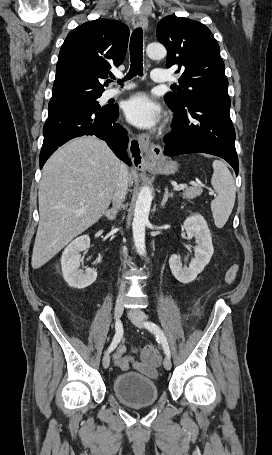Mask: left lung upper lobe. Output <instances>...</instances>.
<instances>
[{
  "instance_id": "left-lung-upper-lobe-1",
  "label": "left lung upper lobe",
  "mask_w": 272,
  "mask_h": 455,
  "mask_svg": "<svg viewBox=\"0 0 272 455\" xmlns=\"http://www.w3.org/2000/svg\"><path fill=\"white\" fill-rule=\"evenodd\" d=\"M157 39L168 51L166 66L178 67L180 86L164 98L174 109L205 96L228 95L220 48L209 28L188 18L167 16L157 25Z\"/></svg>"
}]
</instances>
